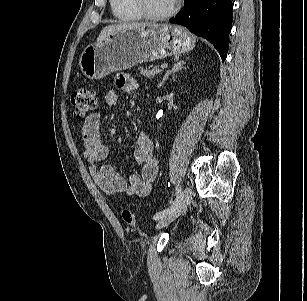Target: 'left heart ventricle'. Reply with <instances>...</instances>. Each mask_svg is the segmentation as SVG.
Listing matches in <instances>:
<instances>
[{
	"mask_svg": "<svg viewBox=\"0 0 307 301\" xmlns=\"http://www.w3.org/2000/svg\"><path fill=\"white\" fill-rule=\"evenodd\" d=\"M174 3V0H145L147 8L152 13H164L168 11Z\"/></svg>",
	"mask_w": 307,
	"mask_h": 301,
	"instance_id": "left-heart-ventricle-1",
	"label": "left heart ventricle"
}]
</instances>
